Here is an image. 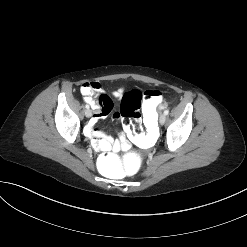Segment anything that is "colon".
<instances>
[{"label": "colon", "mask_w": 247, "mask_h": 247, "mask_svg": "<svg viewBox=\"0 0 247 247\" xmlns=\"http://www.w3.org/2000/svg\"><path fill=\"white\" fill-rule=\"evenodd\" d=\"M162 104V93L159 90H146L141 93L131 90L124 94L120 115L131 140L137 146L151 147L159 137V122L156 109ZM146 119V133H143L140 109ZM146 164V155L139 148H130L125 153L103 151L96 158L97 169L107 177L114 179L129 178L139 174Z\"/></svg>", "instance_id": "5ec220e1"}]
</instances>
